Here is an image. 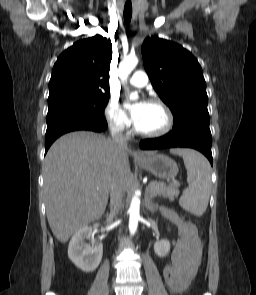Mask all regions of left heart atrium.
<instances>
[{
	"label": "left heart atrium",
	"mask_w": 256,
	"mask_h": 295,
	"mask_svg": "<svg viewBox=\"0 0 256 295\" xmlns=\"http://www.w3.org/2000/svg\"><path fill=\"white\" fill-rule=\"evenodd\" d=\"M146 105L147 103L141 101L129 107L130 118L135 126L138 124V122L142 118Z\"/></svg>",
	"instance_id": "1"
}]
</instances>
